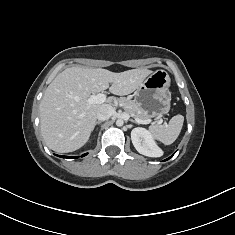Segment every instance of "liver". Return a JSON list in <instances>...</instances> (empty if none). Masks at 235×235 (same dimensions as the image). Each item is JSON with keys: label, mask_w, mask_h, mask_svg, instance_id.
<instances>
[{"label": "liver", "mask_w": 235, "mask_h": 235, "mask_svg": "<svg viewBox=\"0 0 235 235\" xmlns=\"http://www.w3.org/2000/svg\"><path fill=\"white\" fill-rule=\"evenodd\" d=\"M151 73V70L140 68L115 73L79 66L59 73L47 87L39 107L40 127L46 145L59 153L81 148L95 127L100 107L111 106L113 101L108 98L105 104L88 106L91 94L109 88L114 95H128Z\"/></svg>", "instance_id": "liver-1"}]
</instances>
